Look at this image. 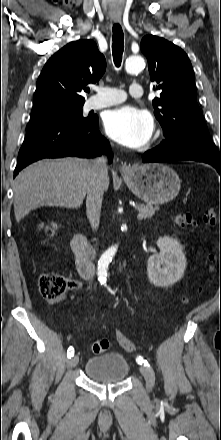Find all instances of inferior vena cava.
<instances>
[{"instance_id":"1","label":"inferior vena cava","mask_w":221,"mask_h":440,"mask_svg":"<svg viewBox=\"0 0 221 440\" xmlns=\"http://www.w3.org/2000/svg\"><path fill=\"white\" fill-rule=\"evenodd\" d=\"M91 178L87 191L86 213L91 227L96 231L100 223L102 198L108 181V166L105 156L91 161Z\"/></svg>"}]
</instances>
